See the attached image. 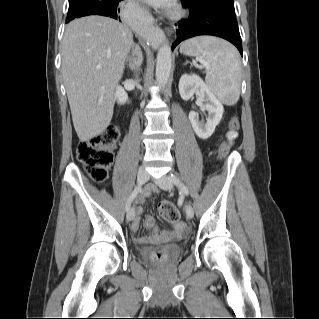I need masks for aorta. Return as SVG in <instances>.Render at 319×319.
I'll use <instances>...</instances> for the list:
<instances>
[{
    "instance_id": "obj_1",
    "label": "aorta",
    "mask_w": 319,
    "mask_h": 319,
    "mask_svg": "<svg viewBox=\"0 0 319 319\" xmlns=\"http://www.w3.org/2000/svg\"><path fill=\"white\" fill-rule=\"evenodd\" d=\"M144 27L149 30L151 27L150 20L142 16ZM171 73V48L168 44H163L157 54L156 63V80L161 87H164Z\"/></svg>"
}]
</instances>
